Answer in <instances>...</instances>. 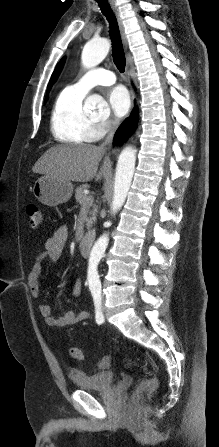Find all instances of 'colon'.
<instances>
[{
    "mask_svg": "<svg viewBox=\"0 0 219 447\" xmlns=\"http://www.w3.org/2000/svg\"><path fill=\"white\" fill-rule=\"evenodd\" d=\"M27 214L29 218V226L32 229L38 228L42 222H43V214L41 211L40 206L37 203H29L27 205ZM70 356L78 361H81L84 359V354L81 351V349L77 347H71L69 350ZM124 362L127 365H134L137 366L134 362H132L129 359H125ZM112 363L111 357H103L99 361V366L103 369L109 368ZM149 376L141 381L137 389L132 395V400L134 402H140L144 398L149 397L153 392L156 390L158 386V380L156 377L152 376L149 372H146Z\"/></svg>",
    "mask_w": 219,
    "mask_h": 447,
    "instance_id": "1",
    "label": "colon"
}]
</instances>
